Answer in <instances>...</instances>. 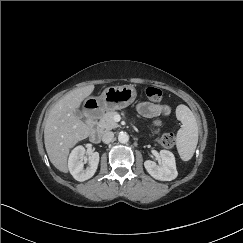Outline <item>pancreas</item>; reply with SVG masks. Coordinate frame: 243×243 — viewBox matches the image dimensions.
Wrapping results in <instances>:
<instances>
[{"label": "pancreas", "mask_w": 243, "mask_h": 243, "mask_svg": "<svg viewBox=\"0 0 243 243\" xmlns=\"http://www.w3.org/2000/svg\"><path fill=\"white\" fill-rule=\"evenodd\" d=\"M118 114L116 111H107L99 121V127L102 131H108L119 127L114 120V116Z\"/></svg>", "instance_id": "cf45deb5"}]
</instances>
